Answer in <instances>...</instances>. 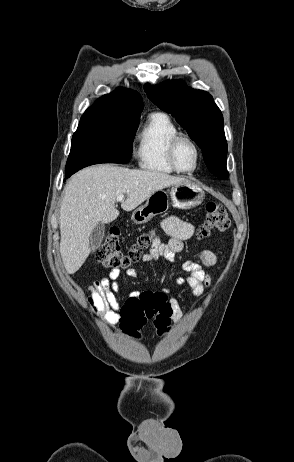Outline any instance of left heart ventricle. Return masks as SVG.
I'll return each mask as SVG.
<instances>
[{
  "label": "left heart ventricle",
  "mask_w": 294,
  "mask_h": 462,
  "mask_svg": "<svg viewBox=\"0 0 294 462\" xmlns=\"http://www.w3.org/2000/svg\"><path fill=\"white\" fill-rule=\"evenodd\" d=\"M176 159L182 169H192L196 162V153L193 146L188 142H181L177 147Z\"/></svg>",
  "instance_id": "left-heart-ventricle-1"
}]
</instances>
